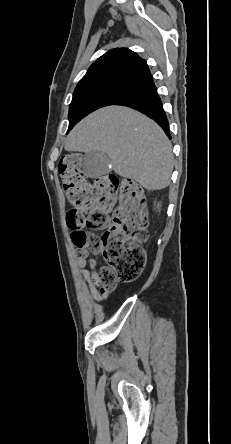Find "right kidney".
Masks as SVG:
<instances>
[{
	"instance_id": "obj_1",
	"label": "right kidney",
	"mask_w": 231,
	"mask_h": 444,
	"mask_svg": "<svg viewBox=\"0 0 231 444\" xmlns=\"http://www.w3.org/2000/svg\"><path fill=\"white\" fill-rule=\"evenodd\" d=\"M159 207H160V204L157 205V208H159Z\"/></svg>"
}]
</instances>
